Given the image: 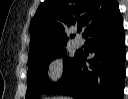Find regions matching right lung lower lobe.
I'll use <instances>...</instances> for the list:
<instances>
[{"label": "right lung lower lobe", "mask_w": 128, "mask_h": 99, "mask_svg": "<svg viewBox=\"0 0 128 99\" xmlns=\"http://www.w3.org/2000/svg\"><path fill=\"white\" fill-rule=\"evenodd\" d=\"M90 53L78 54L67 80L58 88L57 94L71 95L76 99H122L125 79V35L123 19L117 5L95 23L86 33Z\"/></svg>", "instance_id": "right-lung-lower-lobe-1"}]
</instances>
